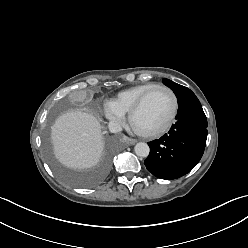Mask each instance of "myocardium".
Masks as SVG:
<instances>
[{
  "label": "myocardium",
  "mask_w": 248,
  "mask_h": 248,
  "mask_svg": "<svg viewBox=\"0 0 248 248\" xmlns=\"http://www.w3.org/2000/svg\"><path fill=\"white\" fill-rule=\"evenodd\" d=\"M158 89H162L165 90L166 92L169 93V95L171 96L172 99V112L170 117L168 118V120L166 121V123L164 125H162L160 128H158L155 131L152 132H141L138 131L134 125H133V120L134 117L136 116V114L140 111V109L143 107L145 101L147 100V98L156 90ZM178 99L175 95V93L173 92L172 89H170L169 87L165 86V85H156L154 87H152L151 89L147 90L146 92H144L140 98L137 100V102L134 104V106L131 108L129 114H128V121L129 124L131 126V128L140 136L145 137V138H158L161 137L162 135H164L174 124L177 114H178Z\"/></svg>",
  "instance_id": "1"
}]
</instances>
